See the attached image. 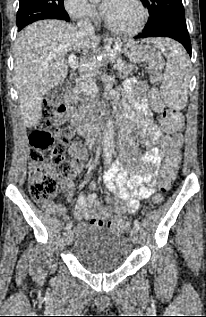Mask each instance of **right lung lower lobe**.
<instances>
[{
	"label": "right lung lower lobe",
	"instance_id": "98d812e1",
	"mask_svg": "<svg viewBox=\"0 0 206 317\" xmlns=\"http://www.w3.org/2000/svg\"><path fill=\"white\" fill-rule=\"evenodd\" d=\"M62 20L69 21V16H67L65 19H62Z\"/></svg>",
	"mask_w": 206,
	"mask_h": 317
}]
</instances>
